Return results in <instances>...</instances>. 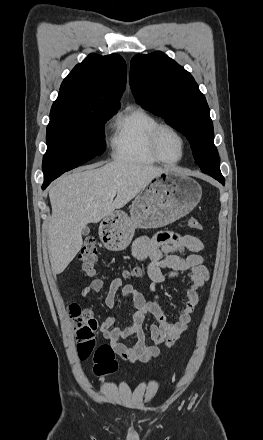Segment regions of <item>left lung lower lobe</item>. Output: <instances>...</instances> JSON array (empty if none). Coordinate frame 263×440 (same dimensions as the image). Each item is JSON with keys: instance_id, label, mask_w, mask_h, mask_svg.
<instances>
[{"instance_id": "0a47b994", "label": "left lung lower lobe", "mask_w": 263, "mask_h": 440, "mask_svg": "<svg viewBox=\"0 0 263 440\" xmlns=\"http://www.w3.org/2000/svg\"><path fill=\"white\" fill-rule=\"evenodd\" d=\"M213 178H215L216 180H218L221 184H225V180L224 177L222 176V174H218V175H210Z\"/></svg>"}]
</instances>
